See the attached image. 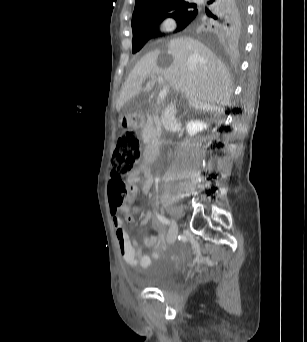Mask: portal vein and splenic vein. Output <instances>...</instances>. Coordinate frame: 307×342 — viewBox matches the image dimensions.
<instances>
[{"label":"portal vein and splenic vein","instance_id":"obj_1","mask_svg":"<svg viewBox=\"0 0 307 342\" xmlns=\"http://www.w3.org/2000/svg\"><path fill=\"white\" fill-rule=\"evenodd\" d=\"M157 80H158V84H159V85L165 84V78H164L163 76H158ZM169 90H170V89H169L167 86H160L158 95H157V97H156L157 100H158V101H163L164 98H165L166 95H167V92H168Z\"/></svg>","mask_w":307,"mask_h":342}]
</instances>
